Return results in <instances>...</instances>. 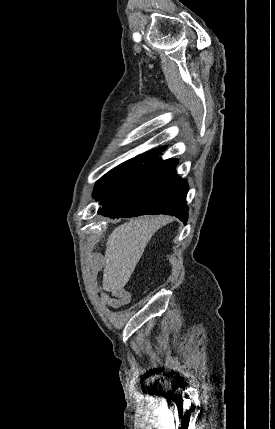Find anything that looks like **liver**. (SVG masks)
<instances>
[{
  "label": "liver",
  "instance_id": "1",
  "mask_svg": "<svg viewBox=\"0 0 275 429\" xmlns=\"http://www.w3.org/2000/svg\"><path fill=\"white\" fill-rule=\"evenodd\" d=\"M166 216L131 219L113 230L105 251L103 288L118 295L129 281L153 234L170 222Z\"/></svg>",
  "mask_w": 275,
  "mask_h": 429
}]
</instances>
